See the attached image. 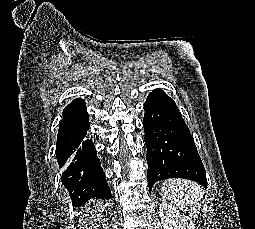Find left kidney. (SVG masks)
Instances as JSON below:
<instances>
[{
    "label": "left kidney",
    "mask_w": 255,
    "mask_h": 229,
    "mask_svg": "<svg viewBox=\"0 0 255 229\" xmlns=\"http://www.w3.org/2000/svg\"><path fill=\"white\" fill-rule=\"evenodd\" d=\"M159 216L164 229H195L188 216L165 202L160 204Z\"/></svg>",
    "instance_id": "5707ae66"
}]
</instances>
